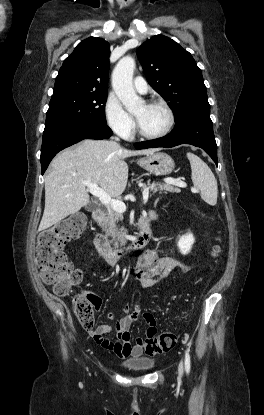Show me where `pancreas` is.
Masks as SVG:
<instances>
[{
    "mask_svg": "<svg viewBox=\"0 0 264 415\" xmlns=\"http://www.w3.org/2000/svg\"><path fill=\"white\" fill-rule=\"evenodd\" d=\"M143 189H149L153 192H172V193H179L180 189L175 188L168 184H162V183H148L147 185L143 186ZM106 218L102 224L103 230L106 232L107 236H110L112 238V243L115 247L121 246L125 243V239L122 236L124 233V228L119 227L118 222L123 220V214L116 212L112 208L108 209V212L106 214Z\"/></svg>",
    "mask_w": 264,
    "mask_h": 415,
    "instance_id": "pancreas-1",
    "label": "pancreas"
}]
</instances>
